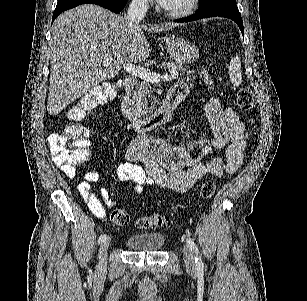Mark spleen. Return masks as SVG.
Wrapping results in <instances>:
<instances>
[{
	"mask_svg": "<svg viewBox=\"0 0 307 301\" xmlns=\"http://www.w3.org/2000/svg\"><path fill=\"white\" fill-rule=\"evenodd\" d=\"M228 74L233 86H240L242 82V72H241V60L238 54H236L234 58H231L228 68Z\"/></svg>",
	"mask_w": 307,
	"mask_h": 301,
	"instance_id": "1",
	"label": "spleen"
}]
</instances>
